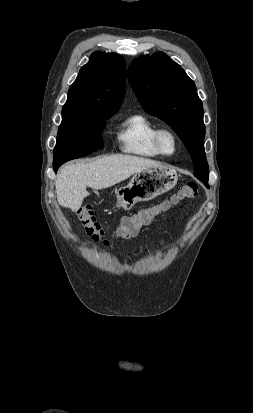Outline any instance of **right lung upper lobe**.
Listing matches in <instances>:
<instances>
[{"label": "right lung upper lobe", "instance_id": "1", "mask_svg": "<svg viewBox=\"0 0 253 413\" xmlns=\"http://www.w3.org/2000/svg\"><path fill=\"white\" fill-rule=\"evenodd\" d=\"M126 64L116 53H92L70 86L62 119L90 118L115 113L125 95Z\"/></svg>", "mask_w": 253, "mask_h": 413}]
</instances>
